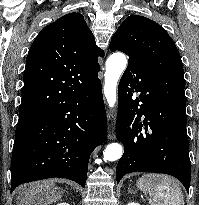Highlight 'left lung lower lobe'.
Returning a JSON list of instances; mask_svg holds the SVG:
<instances>
[{
	"label": "left lung lower lobe",
	"mask_w": 199,
	"mask_h": 205,
	"mask_svg": "<svg viewBox=\"0 0 199 205\" xmlns=\"http://www.w3.org/2000/svg\"><path fill=\"white\" fill-rule=\"evenodd\" d=\"M134 92L141 94L134 98ZM185 105V98L165 91L142 65L129 58L118 88L116 137L125 149L116 168L117 183L131 172L165 173L180 180L189 192Z\"/></svg>",
	"instance_id": "1"
}]
</instances>
